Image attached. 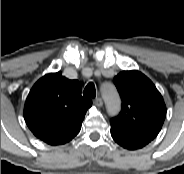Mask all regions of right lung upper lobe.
<instances>
[{
  "label": "right lung upper lobe",
  "mask_w": 184,
  "mask_h": 174,
  "mask_svg": "<svg viewBox=\"0 0 184 174\" xmlns=\"http://www.w3.org/2000/svg\"><path fill=\"white\" fill-rule=\"evenodd\" d=\"M92 101L81 95V84L61 72L49 73L30 90L24 118L32 133L50 145L69 142L81 129Z\"/></svg>",
  "instance_id": "cb5924a9"
}]
</instances>
